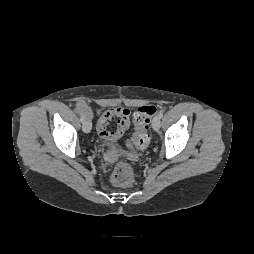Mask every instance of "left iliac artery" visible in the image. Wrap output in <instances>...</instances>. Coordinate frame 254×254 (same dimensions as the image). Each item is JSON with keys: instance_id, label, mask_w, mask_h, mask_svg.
<instances>
[{"instance_id": "obj_1", "label": "left iliac artery", "mask_w": 254, "mask_h": 254, "mask_svg": "<svg viewBox=\"0 0 254 254\" xmlns=\"http://www.w3.org/2000/svg\"><path fill=\"white\" fill-rule=\"evenodd\" d=\"M163 111H160L159 113H158V116L160 117V118H162L163 117Z\"/></svg>"}]
</instances>
